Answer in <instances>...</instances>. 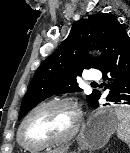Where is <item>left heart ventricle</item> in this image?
<instances>
[{
  "instance_id": "b2bd125f",
  "label": "left heart ventricle",
  "mask_w": 130,
  "mask_h": 153,
  "mask_svg": "<svg viewBox=\"0 0 130 153\" xmlns=\"http://www.w3.org/2000/svg\"><path fill=\"white\" fill-rule=\"evenodd\" d=\"M74 122L75 115L69 107L46 106L29 118L23 129V136L31 143L61 138L69 133Z\"/></svg>"
}]
</instances>
